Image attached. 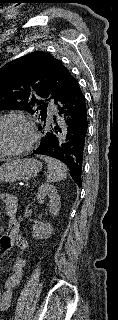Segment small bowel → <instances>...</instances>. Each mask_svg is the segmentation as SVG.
<instances>
[{"instance_id": "1", "label": "small bowel", "mask_w": 118, "mask_h": 320, "mask_svg": "<svg viewBox=\"0 0 118 320\" xmlns=\"http://www.w3.org/2000/svg\"><path fill=\"white\" fill-rule=\"evenodd\" d=\"M2 200L5 202L6 207H13L14 203L12 196L5 194L1 196ZM16 226L18 229V224L15 220L10 222L9 228ZM13 247V246H12ZM19 247V246H18ZM25 262L23 259H17L10 268V274L7 276L0 290V311H5L10 307L12 300V292L15 286L20 282L23 274V269Z\"/></svg>"}]
</instances>
